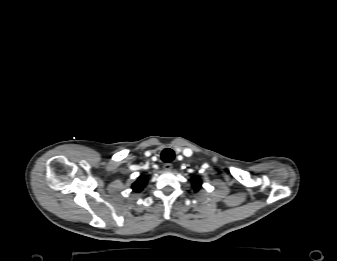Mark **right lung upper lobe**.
<instances>
[{
  "label": "right lung upper lobe",
  "instance_id": "cb5924a9",
  "mask_svg": "<svg viewBox=\"0 0 337 261\" xmlns=\"http://www.w3.org/2000/svg\"><path fill=\"white\" fill-rule=\"evenodd\" d=\"M148 178L146 176H141L137 179L136 182L132 184V189L134 192H141L146 186Z\"/></svg>",
  "mask_w": 337,
  "mask_h": 261
}]
</instances>
